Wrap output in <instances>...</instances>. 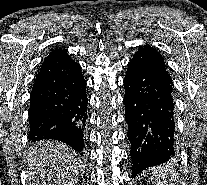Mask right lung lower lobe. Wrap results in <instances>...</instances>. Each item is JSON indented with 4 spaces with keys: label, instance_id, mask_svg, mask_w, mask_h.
Here are the masks:
<instances>
[{
    "label": "right lung lower lobe",
    "instance_id": "1",
    "mask_svg": "<svg viewBox=\"0 0 207 185\" xmlns=\"http://www.w3.org/2000/svg\"><path fill=\"white\" fill-rule=\"evenodd\" d=\"M86 82L81 71L30 94L28 138L54 139L76 151L84 147L87 119Z\"/></svg>",
    "mask_w": 207,
    "mask_h": 185
}]
</instances>
